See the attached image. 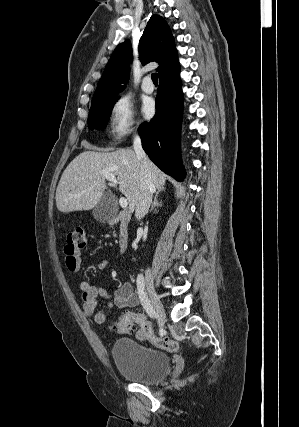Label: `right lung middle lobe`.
Masks as SVG:
<instances>
[{
  "label": "right lung middle lobe",
  "instance_id": "obj_1",
  "mask_svg": "<svg viewBox=\"0 0 299 427\" xmlns=\"http://www.w3.org/2000/svg\"><path fill=\"white\" fill-rule=\"evenodd\" d=\"M118 99L117 96H107L92 101L88 117V126L91 130H103L106 127L113 104Z\"/></svg>",
  "mask_w": 299,
  "mask_h": 427
}]
</instances>
